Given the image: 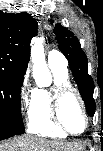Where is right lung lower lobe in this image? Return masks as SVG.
<instances>
[{
    "instance_id": "1",
    "label": "right lung lower lobe",
    "mask_w": 103,
    "mask_h": 151,
    "mask_svg": "<svg viewBox=\"0 0 103 151\" xmlns=\"http://www.w3.org/2000/svg\"><path fill=\"white\" fill-rule=\"evenodd\" d=\"M9 137H12V135L0 136V140L6 139V138H9Z\"/></svg>"
}]
</instances>
